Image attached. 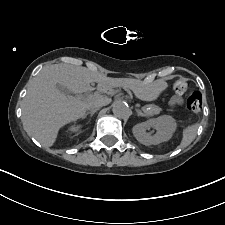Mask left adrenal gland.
I'll return each mask as SVG.
<instances>
[{"label": "left adrenal gland", "instance_id": "obj_1", "mask_svg": "<svg viewBox=\"0 0 225 225\" xmlns=\"http://www.w3.org/2000/svg\"><path fill=\"white\" fill-rule=\"evenodd\" d=\"M136 111H137L138 116H142V117H145V116H146V115L143 114L140 110H136Z\"/></svg>", "mask_w": 225, "mask_h": 225}]
</instances>
